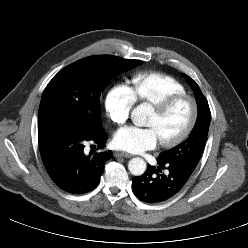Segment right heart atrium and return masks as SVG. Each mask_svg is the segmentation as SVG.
<instances>
[{
	"label": "right heart atrium",
	"mask_w": 248,
	"mask_h": 248,
	"mask_svg": "<svg viewBox=\"0 0 248 248\" xmlns=\"http://www.w3.org/2000/svg\"><path fill=\"white\" fill-rule=\"evenodd\" d=\"M134 99L129 89L122 84L112 86L105 95V109L115 124H124L133 108Z\"/></svg>",
	"instance_id": "right-heart-atrium-1"
}]
</instances>
